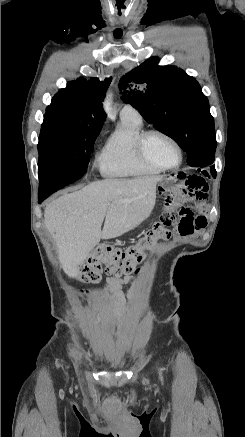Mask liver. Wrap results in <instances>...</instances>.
I'll use <instances>...</instances> for the list:
<instances>
[{
    "label": "liver",
    "mask_w": 245,
    "mask_h": 437,
    "mask_svg": "<svg viewBox=\"0 0 245 437\" xmlns=\"http://www.w3.org/2000/svg\"><path fill=\"white\" fill-rule=\"evenodd\" d=\"M161 179L143 176L93 182L46 205L45 227L56 242L60 263L69 277L78 275L79 264L101 239L122 236L150 216Z\"/></svg>",
    "instance_id": "1"
}]
</instances>
